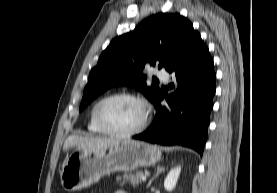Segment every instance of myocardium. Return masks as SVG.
Listing matches in <instances>:
<instances>
[{"label":"myocardium","instance_id":"obj_1","mask_svg":"<svg viewBox=\"0 0 277 193\" xmlns=\"http://www.w3.org/2000/svg\"><path fill=\"white\" fill-rule=\"evenodd\" d=\"M119 99L134 100L143 106V108H144L143 118L137 127L133 128L131 130H128V131L119 132V131H114V130L109 129L104 124V122L101 118L102 107L110 101L119 100ZM93 117H94L96 126L100 129V131L102 133L109 135V136L117 137V138H127V137L134 136L136 134H139L147 127L149 118H150V106L144 98H142L141 96H139L137 94L126 93V92L116 93V94H112L107 97H104L103 99L98 101V103L96 104V106L94 108Z\"/></svg>","mask_w":277,"mask_h":193}]
</instances>
